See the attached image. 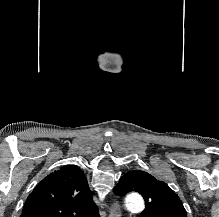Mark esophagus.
Segmentation results:
<instances>
[{"mask_svg":"<svg viewBox=\"0 0 219 217\" xmlns=\"http://www.w3.org/2000/svg\"><path fill=\"white\" fill-rule=\"evenodd\" d=\"M109 217H121L120 204L117 200H113L109 209Z\"/></svg>","mask_w":219,"mask_h":217,"instance_id":"esophagus-1","label":"esophagus"}]
</instances>
